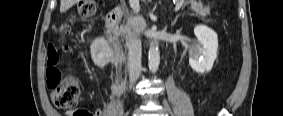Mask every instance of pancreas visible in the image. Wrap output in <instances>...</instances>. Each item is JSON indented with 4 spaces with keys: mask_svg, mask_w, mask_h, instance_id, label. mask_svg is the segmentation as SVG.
Segmentation results:
<instances>
[{
    "mask_svg": "<svg viewBox=\"0 0 283 116\" xmlns=\"http://www.w3.org/2000/svg\"><path fill=\"white\" fill-rule=\"evenodd\" d=\"M192 10L196 13V16H207L210 13L208 7H203L201 4H195L192 6ZM140 29V19L130 15L127 18V23L115 30L117 35L126 36L129 33H135Z\"/></svg>",
    "mask_w": 283,
    "mask_h": 116,
    "instance_id": "1",
    "label": "pancreas"
}]
</instances>
